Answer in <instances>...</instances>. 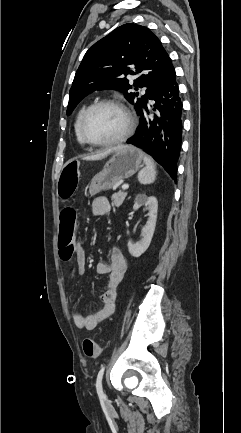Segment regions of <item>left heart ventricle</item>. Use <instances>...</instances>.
Returning a JSON list of instances; mask_svg holds the SVG:
<instances>
[{"instance_id":"1","label":"left heart ventricle","mask_w":241,"mask_h":433,"mask_svg":"<svg viewBox=\"0 0 241 433\" xmlns=\"http://www.w3.org/2000/svg\"><path fill=\"white\" fill-rule=\"evenodd\" d=\"M125 126V116L121 110L113 106H102L88 117L85 132L92 141L107 142L117 138Z\"/></svg>"}]
</instances>
